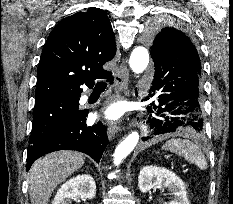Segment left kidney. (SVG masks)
I'll return each mask as SVG.
<instances>
[{
    "instance_id": "1",
    "label": "left kidney",
    "mask_w": 233,
    "mask_h": 204,
    "mask_svg": "<svg viewBox=\"0 0 233 204\" xmlns=\"http://www.w3.org/2000/svg\"><path fill=\"white\" fill-rule=\"evenodd\" d=\"M138 187L142 193L155 188H168L174 196L169 204H189L184 182L172 171L156 166H145L140 170Z\"/></svg>"
}]
</instances>
